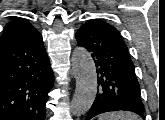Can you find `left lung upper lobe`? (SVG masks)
I'll return each mask as SVG.
<instances>
[{"instance_id": "obj_1", "label": "left lung upper lobe", "mask_w": 165, "mask_h": 120, "mask_svg": "<svg viewBox=\"0 0 165 120\" xmlns=\"http://www.w3.org/2000/svg\"><path fill=\"white\" fill-rule=\"evenodd\" d=\"M106 28H108L109 30H111V31H113V32H115V33H117V34H119V32L117 31V29L116 28H114L113 26H111L110 24H108V23H106V22H104V21H100Z\"/></svg>"}]
</instances>
